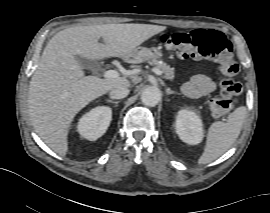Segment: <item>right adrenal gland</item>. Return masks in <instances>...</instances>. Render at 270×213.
<instances>
[{
    "mask_svg": "<svg viewBox=\"0 0 270 213\" xmlns=\"http://www.w3.org/2000/svg\"><path fill=\"white\" fill-rule=\"evenodd\" d=\"M107 102L113 103V104H115V105H117V104L119 103V101H113V100H111V99H107Z\"/></svg>",
    "mask_w": 270,
    "mask_h": 213,
    "instance_id": "2a0ac1e0",
    "label": "right adrenal gland"
}]
</instances>
